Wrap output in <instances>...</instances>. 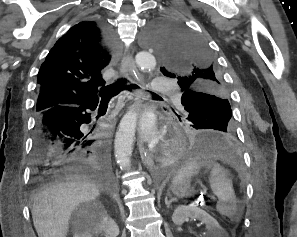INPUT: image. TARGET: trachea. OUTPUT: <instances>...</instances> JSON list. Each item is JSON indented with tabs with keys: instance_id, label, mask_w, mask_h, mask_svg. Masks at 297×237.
I'll use <instances>...</instances> for the list:
<instances>
[{
	"instance_id": "3493384b",
	"label": "trachea",
	"mask_w": 297,
	"mask_h": 237,
	"mask_svg": "<svg viewBox=\"0 0 297 237\" xmlns=\"http://www.w3.org/2000/svg\"><path fill=\"white\" fill-rule=\"evenodd\" d=\"M123 89L132 91L139 89V86L136 84H128V81L125 78L118 79L115 83L102 87L99 91V96L101 97L102 101H109ZM151 94L155 93L151 92Z\"/></svg>"
}]
</instances>
